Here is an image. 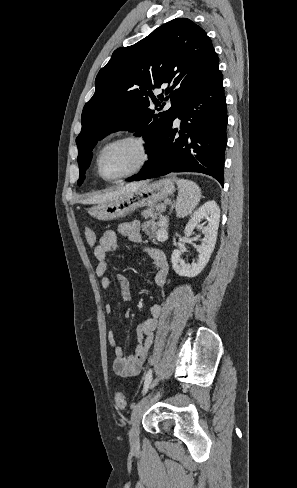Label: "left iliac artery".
I'll use <instances>...</instances> for the list:
<instances>
[{
  "label": "left iliac artery",
  "instance_id": "1",
  "mask_svg": "<svg viewBox=\"0 0 297 488\" xmlns=\"http://www.w3.org/2000/svg\"><path fill=\"white\" fill-rule=\"evenodd\" d=\"M151 381H152V370L149 369V371L147 372L146 377H145V382H144V387H143V395L147 393L149 386L151 384ZM155 382H157V379L155 380Z\"/></svg>",
  "mask_w": 297,
  "mask_h": 488
}]
</instances>
